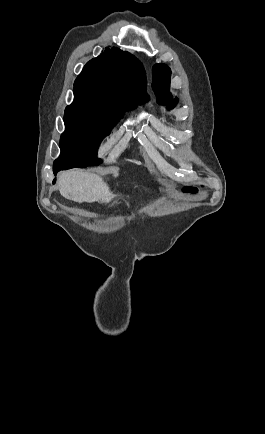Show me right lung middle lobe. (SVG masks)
Returning a JSON list of instances; mask_svg holds the SVG:
<instances>
[{"label":"right lung middle lobe","instance_id":"right-lung-middle-lobe-1","mask_svg":"<svg viewBox=\"0 0 265 434\" xmlns=\"http://www.w3.org/2000/svg\"><path fill=\"white\" fill-rule=\"evenodd\" d=\"M135 105L110 100L88 89L75 90L74 101L65 110V132L61 136V154L54 168L99 165L97 150L125 111Z\"/></svg>","mask_w":265,"mask_h":434}]
</instances>
